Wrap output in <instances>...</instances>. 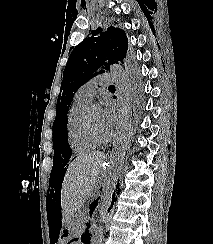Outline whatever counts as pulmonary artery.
I'll list each match as a JSON object with an SVG mask.
<instances>
[{
  "mask_svg": "<svg viewBox=\"0 0 213 244\" xmlns=\"http://www.w3.org/2000/svg\"><path fill=\"white\" fill-rule=\"evenodd\" d=\"M115 81V76L110 73H103L96 76L94 79L88 81L80 87L77 94L89 101H91L96 93L98 86H106Z\"/></svg>",
  "mask_w": 213,
  "mask_h": 244,
  "instance_id": "pulmonary-artery-1",
  "label": "pulmonary artery"
}]
</instances>
